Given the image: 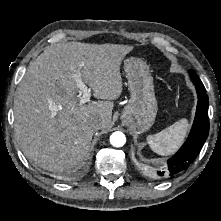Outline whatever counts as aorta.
Returning a JSON list of instances; mask_svg holds the SVG:
<instances>
[{
  "mask_svg": "<svg viewBox=\"0 0 221 221\" xmlns=\"http://www.w3.org/2000/svg\"><path fill=\"white\" fill-rule=\"evenodd\" d=\"M110 143L114 147H122L126 143V137L124 133L116 131L110 136Z\"/></svg>",
  "mask_w": 221,
  "mask_h": 221,
  "instance_id": "aorta-1",
  "label": "aorta"
}]
</instances>
